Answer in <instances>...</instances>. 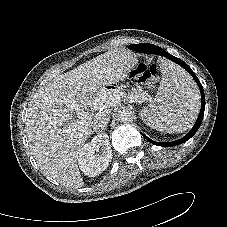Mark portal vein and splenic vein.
<instances>
[{"label": "portal vein and splenic vein", "mask_w": 227, "mask_h": 227, "mask_svg": "<svg viewBox=\"0 0 227 227\" xmlns=\"http://www.w3.org/2000/svg\"><path fill=\"white\" fill-rule=\"evenodd\" d=\"M136 101L139 99V97H133ZM143 99L145 98L144 96L142 97ZM77 114L79 119H83L86 117V112L80 109H77Z\"/></svg>", "instance_id": "portal-vein-and-splenic-vein-1"}]
</instances>
